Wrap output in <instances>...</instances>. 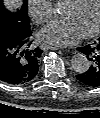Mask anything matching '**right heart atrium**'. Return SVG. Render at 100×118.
<instances>
[{
  "instance_id": "obj_1",
  "label": "right heart atrium",
  "mask_w": 100,
  "mask_h": 118,
  "mask_svg": "<svg viewBox=\"0 0 100 118\" xmlns=\"http://www.w3.org/2000/svg\"><path fill=\"white\" fill-rule=\"evenodd\" d=\"M27 5L31 17L38 24L46 23L53 16L52 0H28Z\"/></svg>"
}]
</instances>
